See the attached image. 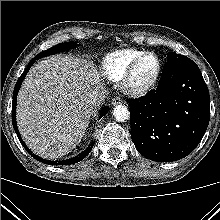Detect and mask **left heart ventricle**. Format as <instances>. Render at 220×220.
Wrapping results in <instances>:
<instances>
[{
	"label": "left heart ventricle",
	"instance_id": "obj_1",
	"mask_svg": "<svg viewBox=\"0 0 220 220\" xmlns=\"http://www.w3.org/2000/svg\"><path fill=\"white\" fill-rule=\"evenodd\" d=\"M156 59L153 56L145 57L140 64L138 65L135 74H134V82L137 84H141L146 82L151 78L156 69Z\"/></svg>",
	"mask_w": 220,
	"mask_h": 220
}]
</instances>
